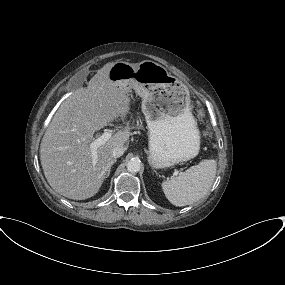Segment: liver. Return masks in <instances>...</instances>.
<instances>
[{"label": "liver", "instance_id": "obj_1", "mask_svg": "<svg viewBox=\"0 0 285 285\" xmlns=\"http://www.w3.org/2000/svg\"><path fill=\"white\" fill-rule=\"evenodd\" d=\"M114 63L104 65L87 88H78L60 105L41 141L44 175L57 193L69 199L84 200L98 193L113 149L128 148L130 132L118 131L97 149L93 166L89 145L94 133L115 120H125L130 112L131 89L108 78Z\"/></svg>", "mask_w": 285, "mask_h": 285}]
</instances>
